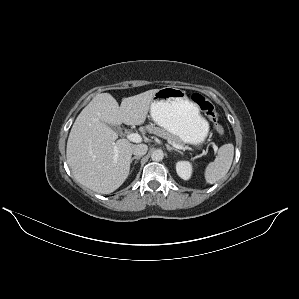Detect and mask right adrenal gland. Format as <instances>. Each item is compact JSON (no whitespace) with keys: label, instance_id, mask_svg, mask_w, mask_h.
<instances>
[{"label":"right adrenal gland","instance_id":"obj_1","mask_svg":"<svg viewBox=\"0 0 299 299\" xmlns=\"http://www.w3.org/2000/svg\"><path fill=\"white\" fill-rule=\"evenodd\" d=\"M140 158H141V156H135V157H132V158H131V163L133 162V160H135V163H134V164H136L137 161H138Z\"/></svg>","mask_w":299,"mask_h":299}]
</instances>
